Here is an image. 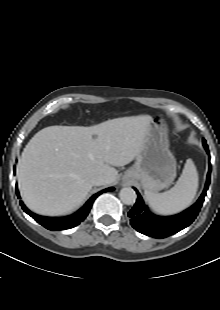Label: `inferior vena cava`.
<instances>
[{"label":"inferior vena cava","mask_w":220,"mask_h":310,"mask_svg":"<svg viewBox=\"0 0 220 310\" xmlns=\"http://www.w3.org/2000/svg\"><path fill=\"white\" fill-rule=\"evenodd\" d=\"M91 182L95 186L105 185L107 183V177L104 175H95Z\"/></svg>","instance_id":"inferior-vena-cava-1"}]
</instances>
